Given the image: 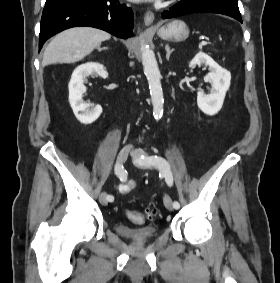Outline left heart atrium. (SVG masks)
<instances>
[{"label": "left heart atrium", "mask_w": 280, "mask_h": 283, "mask_svg": "<svg viewBox=\"0 0 280 283\" xmlns=\"http://www.w3.org/2000/svg\"><path fill=\"white\" fill-rule=\"evenodd\" d=\"M131 1H140V0H131Z\"/></svg>", "instance_id": "39dd6f15"}]
</instances>
